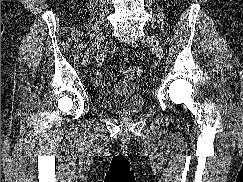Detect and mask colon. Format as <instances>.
Returning <instances> with one entry per match:
<instances>
[{"label":"colon","mask_w":243,"mask_h":182,"mask_svg":"<svg viewBox=\"0 0 243 182\" xmlns=\"http://www.w3.org/2000/svg\"><path fill=\"white\" fill-rule=\"evenodd\" d=\"M125 74L130 79H137L142 75V69L139 66H130L125 70Z\"/></svg>","instance_id":"obj_1"}]
</instances>
